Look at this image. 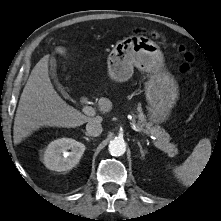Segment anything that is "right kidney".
Here are the masks:
<instances>
[{
    "label": "right kidney",
    "mask_w": 221,
    "mask_h": 221,
    "mask_svg": "<svg viewBox=\"0 0 221 221\" xmlns=\"http://www.w3.org/2000/svg\"><path fill=\"white\" fill-rule=\"evenodd\" d=\"M84 151V144L71 138H60L47 146L44 164L48 169L58 172L70 170L78 164Z\"/></svg>",
    "instance_id": "right-kidney-1"
}]
</instances>
